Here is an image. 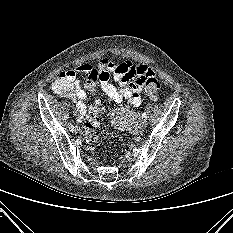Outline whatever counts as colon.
<instances>
[{
    "mask_svg": "<svg viewBox=\"0 0 233 233\" xmlns=\"http://www.w3.org/2000/svg\"><path fill=\"white\" fill-rule=\"evenodd\" d=\"M109 79L106 72L100 71L98 69L92 70L85 81V88L92 94L96 93L99 84L102 81ZM145 92L146 95L152 99L156 100L160 93V84L154 76H150L145 80ZM71 88V83L65 72L61 73L59 77L53 84V90L59 94L63 95L68 92ZM102 113V106L100 103H96L86 115L83 128L88 140L94 144L100 142L95 130L99 124L100 115Z\"/></svg>",
    "mask_w": 233,
    "mask_h": 233,
    "instance_id": "5ec220e1",
    "label": "colon"
}]
</instances>
